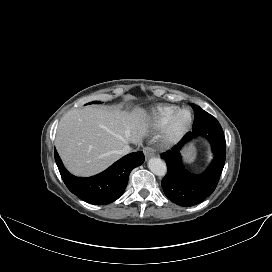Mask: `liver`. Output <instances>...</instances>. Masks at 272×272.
Returning <instances> with one entry per match:
<instances>
[{"label": "liver", "mask_w": 272, "mask_h": 272, "mask_svg": "<svg viewBox=\"0 0 272 272\" xmlns=\"http://www.w3.org/2000/svg\"><path fill=\"white\" fill-rule=\"evenodd\" d=\"M147 131V114L142 108L126 112L87 106L63 116L55 145L67 169L86 177L117 161L125 145L141 143Z\"/></svg>", "instance_id": "liver-1"}]
</instances>
